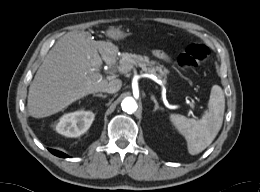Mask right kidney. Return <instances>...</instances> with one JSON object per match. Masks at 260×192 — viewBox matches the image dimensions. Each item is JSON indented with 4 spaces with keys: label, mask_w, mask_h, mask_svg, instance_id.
I'll list each match as a JSON object with an SVG mask.
<instances>
[{
    "label": "right kidney",
    "mask_w": 260,
    "mask_h": 192,
    "mask_svg": "<svg viewBox=\"0 0 260 192\" xmlns=\"http://www.w3.org/2000/svg\"><path fill=\"white\" fill-rule=\"evenodd\" d=\"M94 120V114L90 111H76L65 114L57 124L58 133L67 137H78L85 133Z\"/></svg>",
    "instance_id": "obj_1"
}]
</instances>
